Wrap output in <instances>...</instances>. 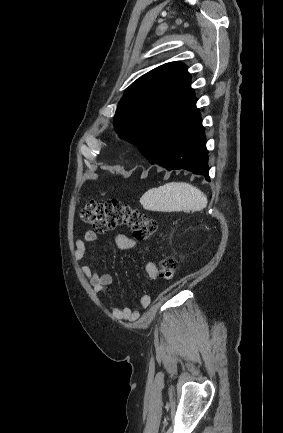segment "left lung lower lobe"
Listing matches in <instances>:
<instances>
[{"label": "left lung lower lobe", "instance_id": "left-lung-lower-lobe-1", "mask_svg": "<svg viewBox=\"0 0 283 433\" xmlns=\"http://www.w3.org/2000/svg\"><path fill=\"white\" fill-rule=\"evenodd\" d=\"M200 113L180 125L149 128L139 151L149 162L168 170L186 169L203 175L207 181L208 151Z\"/></svg>", "mask_w": 283, "mask_h": 433}]
</instances>
